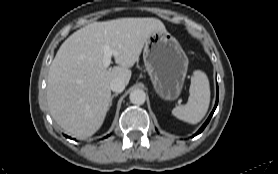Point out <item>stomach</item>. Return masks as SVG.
Segmentation results:
<instances>
[{
	"label": "stomach",
	"mask_w": 278,
	"mask_h": 174,
	"mask_svg": "<svg viewBox=\"0 0 278 174\" xmlns=\"http://www.w3.org/2000/svg\"><path fill=\"white\" fill-rule=\"evenodd\" d=\"M143 60L156 93L165 100L178 98L189 61L176 38L167 31L151 33L144 44Z\"/></svg>",
	"instance_id": "stomach-1"
}]
</instances>
